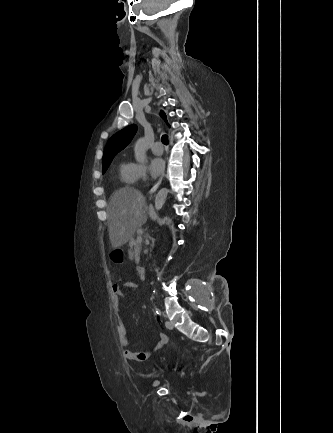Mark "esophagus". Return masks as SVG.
Segmentation results:
<instances>
[{
  "instance_id": "34e87169",
  "label": "esophagus",
  "mask_w": 333,
  "mask_h": 433,
  "mask_svg": "<svg viewBox=\"0 0 333 433\" xmlns=\"http://www.w3.org/2000/svg\"><path fill=\"white\" fill-rule=\"evenodd\" d=\"M164 177V172H162L161 176L159 177V179L156 181V183L152 186V188L150 189L149 193H148V197L151 198L152 195L157 191V189L159 188L162 180Z\"/></svg>"
}]
</instances>
